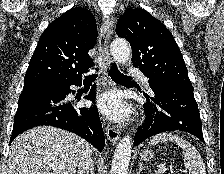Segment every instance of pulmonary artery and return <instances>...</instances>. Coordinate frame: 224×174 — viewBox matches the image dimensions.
<instances>
[{"mask_svg":"<svg viewBox=\"0 0 224 174\" xmlns=\"http://www.w3.org/2000/svg\"><path fill=\"white\" fill-rule=\"evenodd\" d=\"M129 75L141 77L147 83V78L144 77L142 72L139 69H137V68H130Z\"/></svg>","mask_w":224,"mask_h":174,"instance_id":"obj_1","label":"pulmonary artery"}]
</instances>
